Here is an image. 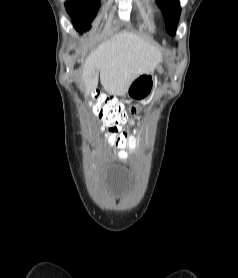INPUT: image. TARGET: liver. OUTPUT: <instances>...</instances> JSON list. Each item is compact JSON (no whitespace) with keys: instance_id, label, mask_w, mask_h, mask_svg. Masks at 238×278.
Here are the masks:
<instances>
[{"instance_id":"1","label":"liver","mask_w":238,"mask_h":278,"mask_svg":"<svg viewBox=\"0 0 238 278\" xmlns=\"http://www.w3.org/2000/svg\"><path fill=\"white\" fill-rule=\"evenodd\" d=\"M160 61L161 52L150 42L129 31L119 32L98 45L82 63L83 90L94 91L100 73L107 93L124 96L137 76L152 73Z\"/></svg>"}]
</instances>
